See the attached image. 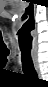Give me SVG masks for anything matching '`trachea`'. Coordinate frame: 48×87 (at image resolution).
Masks as SVG:
<instances>
[{"label":"trachea","mask_w":48,"mask_h":87,"mask_svg":"<svg viewBox=\"0 0 48 87\" xmlns=\"http://www.w3.org/2000/svg\"><path fill=\"white\" fill-rule=\"evenodd\" d=\"M21 60H22V68H23L24 73L28 77L37 78V72L33 64L31 52L21 49Z\"/></svg>","instance_id":"1"}]
</instances>
